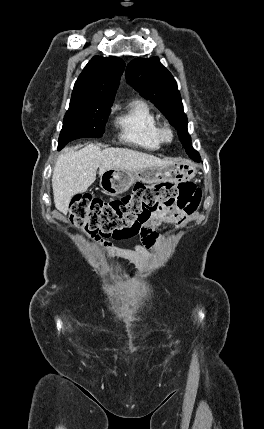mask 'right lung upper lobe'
Instances as JSON below:
<instances>
[{"label":"right lung upper lobe","mask_w":264,"mask_h":429,"mask_svg":"<svg viewBox=\"0 0 264 429\" xmlns=\"http://www.w3.org/2000/svg\"><path fill=\"white\" fill-rule=\"evenodd\" d=\"M124 67L118 57H93L75 82L71 99L113 101Z\"/></svg>","instance_id":"right-lung-upper-lobe-1"}]
</instances>
